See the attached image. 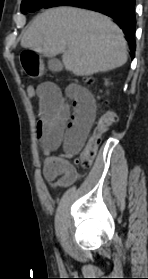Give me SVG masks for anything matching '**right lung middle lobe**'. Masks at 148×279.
I'll return each instance as SVG.
<instances>
[{"mask_svg":"<svg viewBox=\"0 0 148 279\" xmlns=\"http://www.w3.org/2000/svg\"><path fill=\"white\" fill-rule=\"evenodd\" d=\"M49 0H23L21 4L22 13L35 12L44 7Z\"/></svg>","mask_w":148,"mask_h":279,"instance_id":"dd1d6c3e","label":"right lung middle lobe"}]
</instances>
